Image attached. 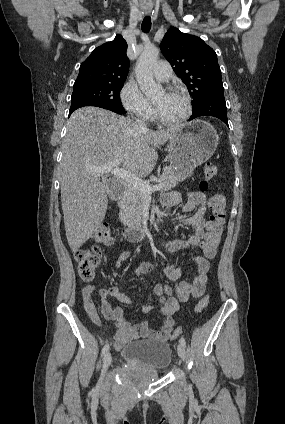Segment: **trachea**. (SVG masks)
I'll list each match as a JSON object with an SVG mask.
<instances>
[{
	"instance_id": "obj_1",
	"label": "trachea",
	"mask_w": 285,
	"mask_h": 424,
	"mask_svg": "<svg viewBox=\"0 0 285 424\" xmlns=\"http://www.w3.org/2000/svg\"><path fill=\"white\" fill-rule=\"evenodd\" d=\"M141 29L144 33H148L151 29V18L150 16H145L143 21H142V25H141Z\"/></svg>"
}]
</instances>
